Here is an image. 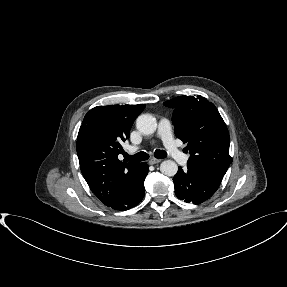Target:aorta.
I'll return each instance as SVG.
<instances>
[{"label":"aorta","mask_w":287,"mask_h":287,"mask_svg":"<svg viewBox=\"0 0 287 287\" xmlns=\"http://www.w3.org/2000/svg\"><path fill=\"white\" fill-rule=\"evenodd\" d=\"M136 128L142 134H153L157 128V121L151 114H141L136 120ZM160 171L166 176H175L178 171V166L172 160H165L160 165Z\"/></svg>","instance_id":"1"}]
</instances>
